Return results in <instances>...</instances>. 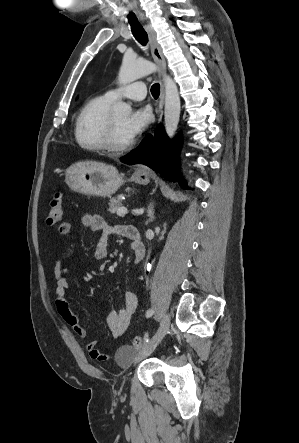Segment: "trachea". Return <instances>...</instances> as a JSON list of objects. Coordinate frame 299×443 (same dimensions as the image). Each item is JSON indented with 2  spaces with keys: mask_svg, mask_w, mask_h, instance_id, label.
I'll list each match as a JSON object with an SVG mask.
<instances>
[{
  "mask_svg": "<svg viewBox=\"0 0 299 443\" xmlns=\"http://www.w3.org/2000/svg\"><path fill=\"white\" fill-rule=\"evenodd\" d=\"M128 21L131 26L132 34L135 37V39L143 46H145L148 42V35L140 22L138 21L137 17L134 14H129L127 16ZM151 93L154 98H158L160 94V85L158 83H155L151 87Z\"/></svg>",
  "mask_w": 299,
  "mask_h": 443,
  "instance_id": "1",
  "label": "trachea"
}]
</instances>
